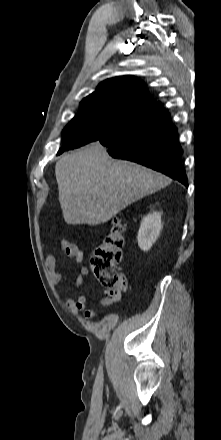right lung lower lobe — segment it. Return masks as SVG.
Listing matches in <instances>:
<instances>
[{"label": "right lung lower lobe", "instance_id": "1", "mask_svg": "<svg viewBox=\"0 0 221 440\" xmlns=\"http://www.w3.org/2000/svg\"><path fill=\"white\" fill-rule=\"evenodd\" d=\"M98 141L113 158L142 164L188 186L177 129L160 102L135 112Z\"/></svg>", "mask_w": 221, "mask_h": 440}]
</instances>
